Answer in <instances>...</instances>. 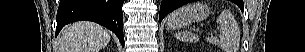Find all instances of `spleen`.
I'll return each mask as SVG.
<instances>
[{
  "instance_id": "1",
  "label": "spleen",
  "mask_w": 305,
  "mask_h": 52,
  "mask_svg": "<svg viewBox=\"0 0 305 52\" xmlns=\"http://www.w3.org/2000/svg\"><path fill=\"white\" fill-rule=\"evenodd\" d=\"M219 24L220 34L219 37H206V41L217 45L225 52H232V42L229 41V32L233 27V18L228 11H223L216 20ZM176 39L185 42H197L199 40L198 36L192 32L185 31L183 33H176Z\"/></svg>"
}]
</instances>
